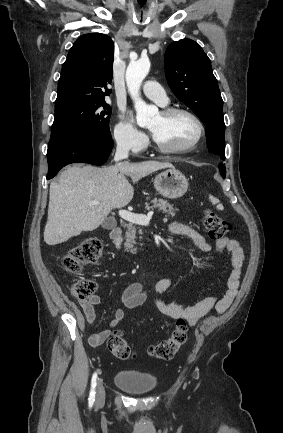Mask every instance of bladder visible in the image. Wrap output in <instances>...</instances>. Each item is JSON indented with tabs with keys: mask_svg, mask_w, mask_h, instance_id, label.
<instances>
[{
	"mask_svg": "<svg viewBox=\"0 0 283 433\" xmlns=\"http://www.w3.org/2000/svg\"><path fill=\"white\" fill-rule=\"evenodd\" d=\"M156 383V375L152 373L125 368H122L115 377V384L129 393H147L156 386Z\"/></svg>",
	"mask_w": 283,
	"mask_h": 433,
	"instance_id": "bladder-1",
	"label": "bladder"
}]
</instances>
